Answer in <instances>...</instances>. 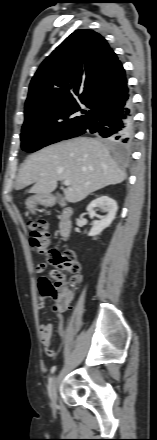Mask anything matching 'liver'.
Returning a JSON list of instances; mask_svg holds the SVG:
<instances>
[{"instance_id":"liver-1","label":"liver","mask_w":157,"mask_h":440,"mask_svg":"<svg viewBox=\"0 0 157 440\" xmlns=\"http://www.w3.org/2000/svg\"><path fill=\"white\" fill-rule=\"evenodd\" d=\"M126 174L112 159L99 140L78 137L47 146L27 157L18 176V189L34 184L29 190L49 195L57 182L70 180L65 199L77 203L90 193L123 182Z\"/></svg>"}]
</instances>
